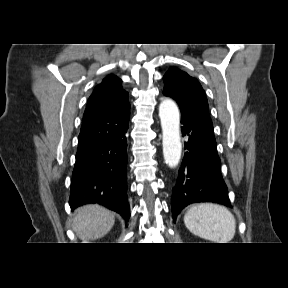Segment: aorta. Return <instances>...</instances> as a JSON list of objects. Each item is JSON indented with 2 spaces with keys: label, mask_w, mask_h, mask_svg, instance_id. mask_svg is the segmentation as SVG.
I'll return each mask as SVG.
<instances>
[{
  "label": "aorta",
  "mask_w": 288,
  "mask_h": 288,
  "mask_svg": "<svg viewBox=\"0 0 288 288\" xmlns=\"http://www.w3.org/2000/svg\"><path fill=\"white\" fill-rule=\"evenodd\" d=\"M159 117L162 127L163 155L166 164L174 168L181 158L180 115L177 105L170 99H164L159 105Z\"/></svg>",
  "instance_id": "762f6f07"
}]
</instances>
